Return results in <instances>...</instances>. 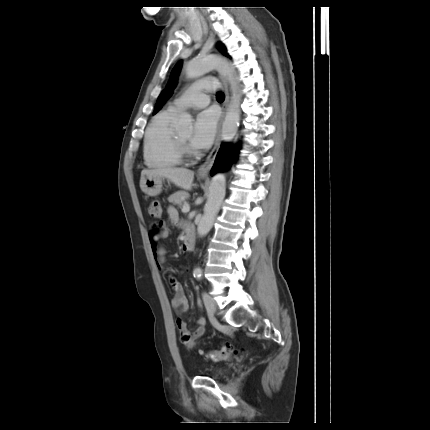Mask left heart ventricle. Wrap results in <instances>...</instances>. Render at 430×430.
Here are the masks:
<instances>
[{
	"label": "left heart ventricle",
	"instance_id": "b2bd125f",
	"mask_svg": "<svg viewBox=\"0 0 430 430\" xmlns=\"http://www.w3.org/2000/svg\"><path fill=\"white\" fill-rule=\"evenodd\" d=\"M191 131H183V132H179L178 133V135H179V137L182 139V140H184L185 142H188V141H190V139H191Z\"/></svg>",
	"mask_w": 430,
	"mask_h": 430
}]
</instances>
